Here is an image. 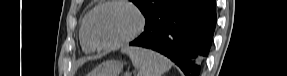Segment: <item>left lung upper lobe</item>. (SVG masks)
Here are the masks:
<instances>
[{"mask_svg": "<svg viewBox=\"0 0 287 76\" xmlns=\"http://www.w3.org/2000/svg\"><path fill=\"white\" fill-rule=\"evenodd\" d=\"M144 14L146 20L172 0H131Z\"/></svg>", "mask_w": 287, "mask_h": 76, "instance_id": "left-lung-upper-lobe-1", "label": "left lung upper lobe"}]
</instances>
